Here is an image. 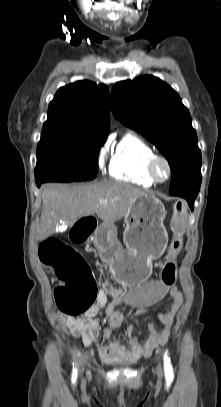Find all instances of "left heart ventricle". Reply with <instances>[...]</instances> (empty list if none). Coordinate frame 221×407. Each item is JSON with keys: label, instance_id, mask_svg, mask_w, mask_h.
I'll return each instance as SVG.
<instances>
[{"label": "left heart ventricle", "instance_id": "b2bd125f", "mask_svg": "<svg viewBox=\"0 0 221 407\" xmlns=\"http://www.w3.org/2000/svg\"><path fill=\"white\" fill-rule=\"evenodd\" d=\"M156 173L160 179H165L167 176V168L164 163L159 162L156 167Z\"/></svg>", "mask_w": 221, "mask_h": 407}]
</instances>
